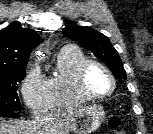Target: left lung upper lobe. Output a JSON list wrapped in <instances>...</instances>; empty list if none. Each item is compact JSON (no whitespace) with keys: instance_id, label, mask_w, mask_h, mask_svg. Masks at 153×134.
<instances>
[{"instance_id":"5c2ea615","label":"left lung upper lobe","mask_w":153,"mask_h":134,"mask_svg":"<svg viewBox=\"0 0 153 134\" xmlns=\"http://www.w3.org/2000/svg\"><path fill=\"white\" fill-rule=\"evenodd\" d=\"M62 32L67 38L90 49L109 67L116 77L126 78V72L118 52L105 35L90 27L80 26L64 28Z\"/></svg>"}]
</instances>
